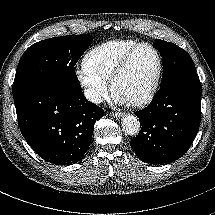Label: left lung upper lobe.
I'll list each match as a JSON object with an SVG mask.
<instances>
[{
  "mask_svg": "<svg viewBox=\"0 0 215 215\" xmlns=\"http://www.w3.org/2000/svg\"><path fill=\"white\" fill-rule=\"evenodd\" d=\"M154 45L162 55L163 76L160 87L184 74L196 71L191 57L182 48L164 40H155Z\"/></svg>",
  "mask_w": 215,
  "mask_h": 215,
  "instance_id": "left-lung-upper-lobe-1",
  "label": "left lung upper lobe"
}]
</instances>
